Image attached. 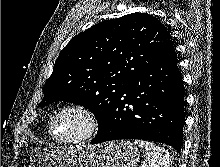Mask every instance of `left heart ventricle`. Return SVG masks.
Masks as SVG:
<instances>
[{
    "label": "left heart ventricle",
    "instance_id": "1",
    "mask_svg": "<svg viewBox=\"0 0 220 167\" xmlns=\"http://www.w3.org/2000/svg\"><path fill=\"white\" fill-rule=\"evenodd\" d=\"M84 118L75 112L61 115L54 125V133L57 137L68 139L78 136L85 130Z\"/></svg>",
    "mask_w": 220,
    "mask_h": 167
}]
</instances>
